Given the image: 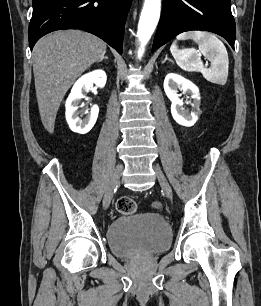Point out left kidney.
I'll list each match as a JSON object with an SVG mask.
<instances>
[{"mask_svg": "<svg viewBox=\"0 0 261 306\" xmlns=\"http://www.w3.org/2000/svg\"><path fill=\"white\" fill-rule=\"evenodd\" d=\"M178 89L191 94L193 98L191 112L182 107L183 102L179 99ZM164 90L172 102L171 114L173 119L179 125L186 127L193 126L198 120V115H200V93L198 87L184 77L170 73L165 77Z\"/></svg>", "mask_w": 261, "mask_h": 306, "instance_id": "obj_1", "label": "left kidney"}]
</instances>
